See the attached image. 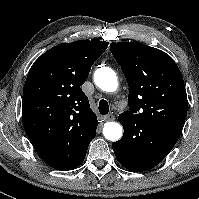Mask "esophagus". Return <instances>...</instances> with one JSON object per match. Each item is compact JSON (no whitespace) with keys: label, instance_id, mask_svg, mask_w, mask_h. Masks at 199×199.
<instances>
[{"label":"esophagus","instance_id":"34e87169","mask_svg":"<svg viewBox=\"0 0 199 199\" xmlns=\"http://www.w3.org/2000/svg\"><path fill=\"white\" fill-rule=\"evenodd\" d=\"M104 121H113L115 119L114 115L109 114L103 117Z\"/></svg>","mask_w":199,"mask_h":199}]
</instances>
